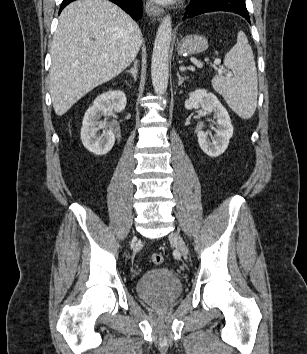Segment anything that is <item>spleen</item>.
I'll use <instances>...</instances> for the list:
<instances>
[{
    "label": "spleen",
    "mask_w": 307,
    "mask_h": 354,
    "mask_svg": "<svg viewBox=\"0 0 307 354\" xmlns=\"http://www.w3.org/2000/svg\"><path fill=\"white\" fill-rule=\"evenodd\" d=\"M224 64L233 77L216 75L212 86L239 117L249 119L257 107L258 80L253 51L242 31L238 32L237 43L225 55Z\"/></svg>",
    "instance_id": "1"
}]
</instances>
